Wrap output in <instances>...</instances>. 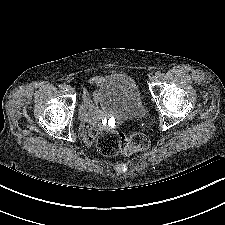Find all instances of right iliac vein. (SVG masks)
<instances>
[{
  "mask_svg": "<svg viewBox=\"0 0 225 225\" xmlns=\"http://www.w3.org/2000/svg\"><path fill=\"white\" fill-rule=\"evenodd\" d=\"M68 93H69V94H74V93H75L74 88L68 87Z\"/></svg>",
  "mask_w": 225,
  "mask_h": 225,
  "instance_id": "obj_1",
  "label": "right iliac vein"
}]
</instances>
